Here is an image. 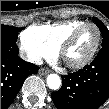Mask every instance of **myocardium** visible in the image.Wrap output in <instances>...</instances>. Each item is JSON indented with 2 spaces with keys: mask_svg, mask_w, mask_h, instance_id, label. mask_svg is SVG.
I'll return each mask as SVG.
<instances>
[{
  "mask_svg": "<svg viewBox=\"0 0 109 109\" xmlns=\"http://www.w3.org/2000/svg\"><path fill=\"white\" fill-rule=\"evenodd\" d=\"M94 27L97 31V40L96 43L93 47V49L91 50V52L81 61L79 62H75V63H71L66 61L67 65L71 68V69H80L83 68L85 66H87L95 57V55L97 54L99 47H100V43H101V39H102V33L100 28L91 22H87L81 26L76 27L70 34L69 36L62 42V44L59 46V52L60 55L65 59V54L66 51L76 42L79 34L86 28V27ZM66 60V59H65Z\"/></svg>",
  "mask_w": 109,
  "mask_h": 109,
  "instance_id": "myocardium-1",
  "label": "myocardium"
}]
</instances>
